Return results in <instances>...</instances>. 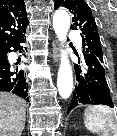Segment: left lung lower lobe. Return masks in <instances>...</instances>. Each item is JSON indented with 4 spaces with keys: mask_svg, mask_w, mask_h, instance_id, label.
I'll return each instance as SVG.
<instances>
[{
    "mask_svg": "<svg viewBox=\"0 0 117 136\" xmlns=\"http://www.w3.org/2000/svg\"><path fill=\"white\" fill-rule=\"evenodd\" d=\"M84 65H75L76 85L67 114L78 105L102 104L113 108L103 64L92 54L84 55Z\"/></svg>",
    "mask_w": 117,
    "mask_h": 136,
    "instance_id": "1",
    "label": "left lung lower lobe"
}]
</instances>
